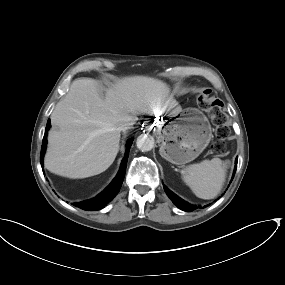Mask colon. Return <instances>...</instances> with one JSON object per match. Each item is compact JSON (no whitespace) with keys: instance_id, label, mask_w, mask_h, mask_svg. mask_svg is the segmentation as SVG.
Wrapping results in <instances>:
<instances>
[{"instance_id":"colon-1","label":"colon","mask_w":285,"mask_h":285,"mask_svg":"<svg viewBox=\"0 0 285 285\" xmlns=\"http://www.w3.org/2000/svg\"><path fill=\"white\" fill-rule=\"evenodd\" d=\"M198 100L200 106L208 112L218 135V139L214 143L213 149L217 153H222L225 147L224 138L226 121V115L222 110L223 104L219 99L213 98V94L210 89L203 90Z\"/></svg>"}]
</instances>
